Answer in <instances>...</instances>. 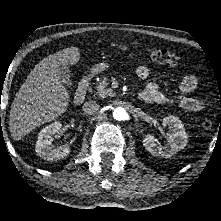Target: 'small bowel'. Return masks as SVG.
<instances>
[{"mask_svg": "<svg viewBox=\"0 0 221 221\" xmlns=\"http://www.w3.org/2000/svg\"><path fill=\"white\" fill-rule=\"evenodd\" d=\"M137 76L146 80L150 75V70L147 66L141 65L136 69ZM198 85V78L195 75H187L181 82L176 96V101L185 110L190 112H199L206 106V102L190 96ZM138 98L148 104H163L170 102L156 83H149L146 88L138 94Z\"/></svg>", "mask_w": 221, "mask_h": 221, "instance_id": "c3829d8e", "label": "small bowel"}]
</instances>
